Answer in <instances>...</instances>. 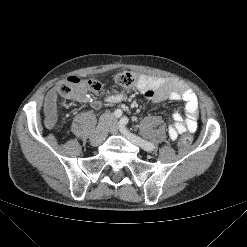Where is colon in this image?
I'll return each mask as SVG.
<instances>
[{"instance_id": "1", "label": "colon", "mask_w": 247, "mask_h": 247, "mask_svg": "<svg viewBox=\"0 0 247 247\" xmlns=\"http://www.w3.org/2000/svg\"><path fill=\"white\" fill-rule=\"evenodd\" d=\"M143 77L144 76L135 72L123 71L115 75L114 81L119 86L131 87L137 85ZM102 87L103 84L99 80L91 79L81 81L79 78L71 77L68 81L61 83L58 90L65 98H77L88 92L98 93L101 91ZM192 140V135L190 133H185L180 137L178 144L182 147L188 146L192 143Z\"/></svg>"}]
</instances>
